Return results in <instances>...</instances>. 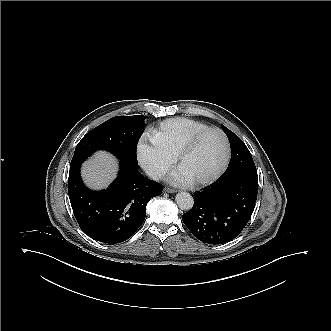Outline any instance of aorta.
Returning <instances> with one entry per match:
<instances>
[{"instance_id":"obj_1","label":"aorta","mask_w":331,"mask_h":331,"mask_svg":"<svg viewBox=\"0 0 331 331\" xmlns=\"http://www.w3.org/2000/svg\"><path fill=\"white\" fill-rule=\"evenodd\" d=\"M175 201L181 210L189 211L194 205V198L187 192H180L176 195Z\"/></svg>"}]
</instances>
